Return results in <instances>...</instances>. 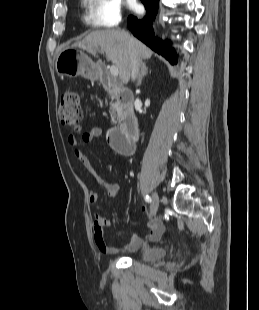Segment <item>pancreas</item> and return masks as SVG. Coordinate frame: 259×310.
<instances>
[{"label": "pancreas", "instance_id": "1", "mask_svg": "<svg viewBox=\"0 0 259 310\" xmlns=\"http://www.w3.org/2000/svg\"><path fill=\"white\" fill-rule=\"evenodd\" d=\"M115 117H116V114L113 112V114H112V121L113 122L115 121Z\"/></svg>", "mask_w": 259, "mask_h": 310}]
</instances>
